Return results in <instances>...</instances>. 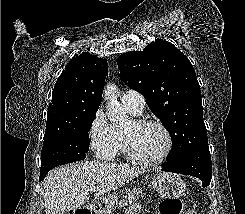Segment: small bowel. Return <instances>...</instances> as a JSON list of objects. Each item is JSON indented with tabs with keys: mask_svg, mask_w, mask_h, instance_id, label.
Instances as JSON below:
<instances>
[{
	"mask_svg": "<svg viewBox=\"0 0 245 214\" xmlns=\"http://www.w3.org/2000/svg\"><path fill=\"white\" fill-rule=\"evenodd\" d=\"M127 214H140V206L137 204L132 205L129 209Z\"/></svg>",
	"mask_w": 245,
	"mask_h": 214,
	"instance_id": "c3829d8e",
	"label": "small bowel"
}]
</instances>
